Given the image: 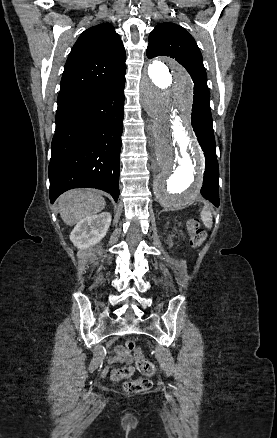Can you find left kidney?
Segmentation results:
<instances>
[{"label":"left kidney","mask_w":277,"mask_h":438,"mask_svg":"<svg viewBox=\"0 0 277 438\" xmlns=\"http://www.w3.org/2000/svg\"><path fill=\"white\" fill-rule=\"evenodd\" d=\"M171 238H172V236H170V238H169V240H168V244H169V246H173Z\"/></svg>","instance_id":"1"}]
</instances>
